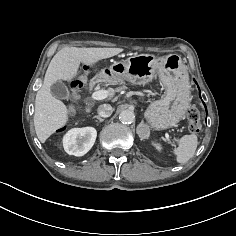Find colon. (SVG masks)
<instances>
[{
  "mask_svg": "<svg viewBox=\"0 0 236 236\" xmlns=\"http://www.w3.org/2000/svg\"><path fill=\"white\" fill-rule=\"evenodd\" d=\"M83 82L75 79L70 84V95L72 99L77 97L78 90L82 87ZM188 129L192 134H199L201 131L200 112L197 108L191 107L187 112Z\"/></svg>",
  "mask_w": 236,
  "mask_h": 236,
  "instance_id": "5ec220e1",
  "label": "colon"
}]
</instances>
